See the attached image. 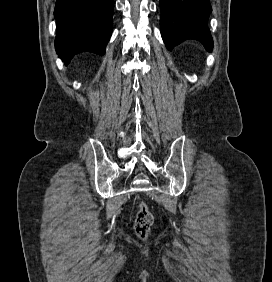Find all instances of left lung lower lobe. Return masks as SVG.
<instances>
[{
    "mask_svg": "<svg viewBox=\"0 0 272 282\" xmlns=\"http://www.w3.org/2000/svg\"><path fill=\"white\" fill-rule=\"evenodd\" d=\"M162 38L172 49L186 39L199 40L207 51L213 41L207 26L212 11L209 0H160Z\"/></svg>",
    "mask_w": 272,
    "mask_h": 282,
    "instance_id": "obj_1",
    "label": "left lung lower lobe"
}]
</instances>
